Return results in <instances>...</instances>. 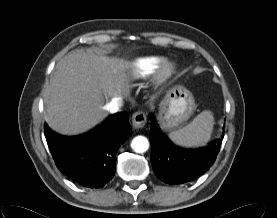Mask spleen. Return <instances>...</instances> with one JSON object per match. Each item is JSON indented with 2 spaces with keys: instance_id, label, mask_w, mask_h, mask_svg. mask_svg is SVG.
Here are the masks:
<instances>
[{
  "instance_id": "1",
  "label": "spleen",
  "mask_w": 277,
  "mask_h": 218,
  "mask_svg": "<svg viewBox=\"0 0 277 218\" xmlns=\"http://www.w3.org/2000/svg\"><path fill=\"white\" fill-rule=\"evenodd\" d=\"M213 126V114L205 110L185 127L169 133V138L180 146H203L210 140Z\"/></svg>"
}]
</instances>
